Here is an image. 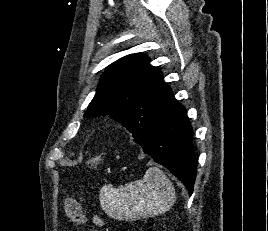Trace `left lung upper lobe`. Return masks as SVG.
<instances>
[{
  "label": "left lung upper lobe",
  "instance_id": "obj_1",
  "mask_svg": "<svg viewBox=\"0 0 268 231\" xmlns=\"http://www.w3.org/2000/svg\"><path fill=\"white\" fill-rule=\"evenodd\" d=\"M141 53L127 55L107 67L84 117L111 115L143 139L176 104L162 73Z\"/></svg>",
  "mask_w": 268,
  "mask_h": 231
}]
</instances>
